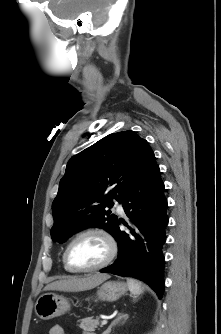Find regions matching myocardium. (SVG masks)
Returning <instances> with one entry per match:
<instances>
[{"mask_svg": "<svg viewBox=\"0 0 221 334\" xmlns=\"http://www.w3.org/2000/svg\"><path fill=\"white\" fill-rule=\"evenodd\" d=\"M89 234L99 235L106 241L107 246H108V254L102 262H100L99 264H97L95 266L86 267V268L75 267L74 265L71 264L70 259H69L70 249H71L72 245L79 238H81L85 235H89ZM117 251H118L117 241H116L114 235L110 231H108L107 229L102 228V227H88V228H85V229L79 231L78 233H76L71 238V240L66 245V248H65V251H64V254H63V260H64L65 265L73 272H92V271H97V270L103 269L106 266H108L113 261V259L115 258L116 254H117Z\"/></svg>", "mask_w": 221, "mask_h": 334, "instance_id": "f54148a6", "label": "myocardium"}]
</instances>
